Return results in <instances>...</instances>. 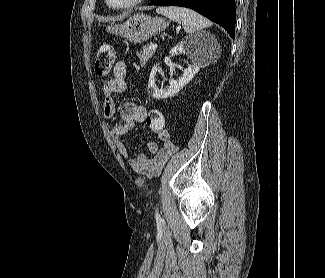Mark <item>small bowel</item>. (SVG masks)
Instances as JSON below:
<instances>
[{
	"label": "small bowel",
	"instance_id": "c3829d8e",
	"mask_svg": "<svg viewBox=\"0 0 325 278\" xmlns=\"http://www.w3.org/2000/svg\"><path fill=\"white\" fill-rule=\"evenodd\" d=\"M126 64L119 61L114 68V76L107 81L102 90L103 114L106 119H112L116 112L115 96L123 93L127 89ZM147 116V109L144 106L137 105L133 102H126L120 110L121 121L114 125L111 130L112 136L120 141L134 127L136 123H144ZM163 140L161 146L156 142L148 143V152L139 154L131 160V166L135 172L145 175L148 178L157 176L167 160L177 151L174 144L167 140L164 133H159ZM120 152L126 156L128 151L124 143L119 142Z\"/></svg>",
	"mask_w": 325,
	"mask_h": 278
}]
</instances>
